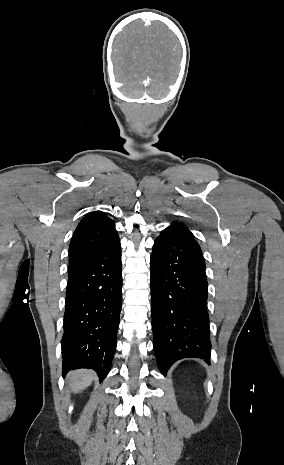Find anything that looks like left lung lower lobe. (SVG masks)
I'll use <instances>...</instances> for the list:
<instances>
[{
	"instance_id": "1",
	"label": "left lung lower lobe",
	"mask_w": 284,
	"mask_h": 465,
	"mask_svg": "<svg viewBox=\"0 0 284 465\" xmlns=\"http://www.w3.org/2000/svg\"><path fill=\"white\" fill-rule=\"evenodd\" d=\"M151 312L154 349L164 374L182 358L210 362L205 262L196 240L168 227L151 255Z\"/></svg>"
}]
</instances>
